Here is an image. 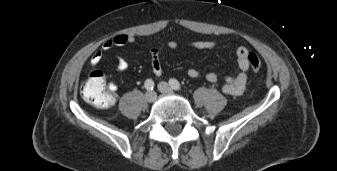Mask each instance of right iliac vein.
Masks as SVG:
<instances>
[{"instance_id": "obj_1", "label": "right iliac vein", "mask_w": 337, "mask_h": 171, "mask_svg": "<svg viewBox=\"0 0 337 171\" xmlns=\"http://www.w3.org/2000/svg\"><path fill=\"white\" fill-rule=\"evenodd\" d=\"M157 98V95L154 91H149L145 94V99L148 101V102H154Z\"/></svg>"}]
</instances>
